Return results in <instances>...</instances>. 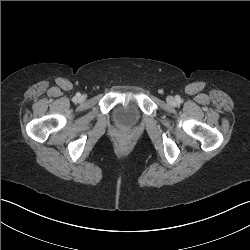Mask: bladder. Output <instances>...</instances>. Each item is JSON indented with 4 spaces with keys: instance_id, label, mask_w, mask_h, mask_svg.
<instances>
[{
    "instance_id": "bladder-1",
    "label": "bladder",
    "mask_w": 250,
    "mask_h": 250,
    "mask_svg": "<svg viewBox=\"0 0 250 250\" xmlns=\"http://www.w3.org/2000/svg\"><path fill=\"white\" fill-rule=\"evenodd\" d=\"M115 118L121 126H132L139 119V111L134 104L119 105L115 109Z\"/></svg>"
}]
</instances>
